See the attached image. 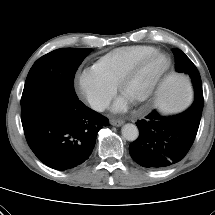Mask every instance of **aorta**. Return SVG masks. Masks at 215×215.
I'll return each mask as SVG.
<instances>
[{"mask_svg": "<svg viewBox=\"0 0 215 215\" xmlns=\"http://www.w3.org/2000/svg\"><path fill=\"white\" fill-rule=\"evenodd\" d=\"M122 136L128 141H135L139 136V130L136 125L127 123L122 127Z\"/></svg>", "mask_w": 215, "mask_h": 215, "instance_id": "762f6f07", "label": "aorta"}]
</instances>
